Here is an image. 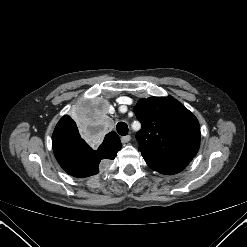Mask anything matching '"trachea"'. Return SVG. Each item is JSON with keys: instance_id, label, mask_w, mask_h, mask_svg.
I'll return each instance as SVG.
<instances>
[{"instance_id": "1", "label": "trachea", "mask_w": 247, "mask_h": 247, "mask_svg": "<svg viewBox=\"0 0 247 247\" xmlns=\"http://www.w3.org/2000/svg\"><path fill=\"white\" fill-rule=\"evenodd\" d=\"M118 134L125 136L128 134V125L125 122H119L116 126Z\"/></svg>"}]
</instances>
